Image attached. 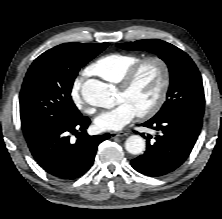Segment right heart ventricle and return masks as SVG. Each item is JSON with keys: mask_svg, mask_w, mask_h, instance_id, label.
Masks as SVG:
<instances>
[{"mask_svg": "<svg viewBox=\"0 0 222 219\" xmlns=\"http://www.w3.org/2000/svg\"><path fill=\"white\" fill-rule=\"evenodd\" d=\"M140 55L130 53H110L97 59L90 70L100 78L118 84L125 73L139 60Z\"/></svg>", "mask_w": 222, "mask_h": 219, "instance_id": "right-heart-ventricle-1", "label": "right heart ventricle"}]
</instances>
